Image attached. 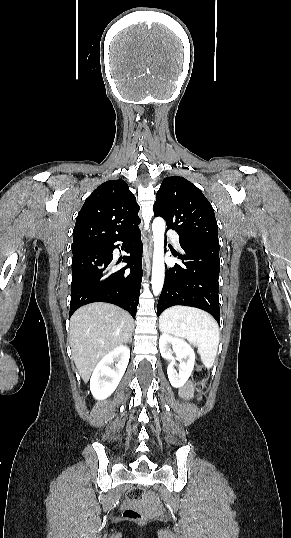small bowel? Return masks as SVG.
Instances as JSON below:
<instances>
[{"label": "small bowel", "mask_w": 291, "mask_h": 538, "mask_svg": "<svg viewBox=\"0 0 291 538\" xmlns=\"http://www.w3.org/2000/svg\"><path fill=\"white\" fill-rule=\"evenodd\" d=\"M191 392H192V388H191V386L189 384L183 386L182 389H181V393L185 397L190 396Z\"/></svg>", "instance_id": "1"}]
</instances>
